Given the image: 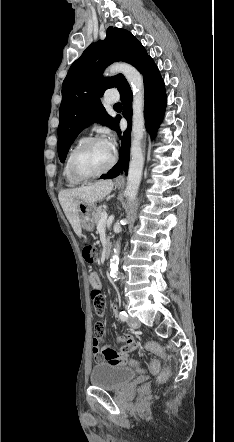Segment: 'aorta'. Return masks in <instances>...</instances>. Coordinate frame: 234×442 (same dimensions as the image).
Wrapping results in <instances>:
<instances>
[{
	"instance_id": "aorta-1",
	"label": "aorta",
	"mask_w": 234,
	"mask_h": 442,
	"mask_svg": "<svg viewBox=\"0 0 234 442\" xmlns=\"http://www.w3.org/2000/svg\"><path fill=\"white\" fill-rule=\"evenodd\" d=\"M117 73H122L125 76L133 90L130 162L125 190L128 200L132 202L136 198L144 167V82L140 72L130 64H113L107 69L106 75H115ZM119 254L120 241L118 240L110 260L111 276L114 279L118 277Z\"/></svg>"
}]
</instances>
